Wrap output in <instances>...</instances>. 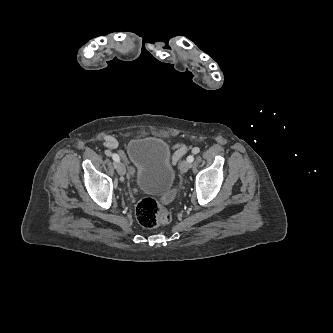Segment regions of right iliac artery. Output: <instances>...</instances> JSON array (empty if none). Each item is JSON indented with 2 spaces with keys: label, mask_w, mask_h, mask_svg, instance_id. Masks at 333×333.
<instances>
[{
  "label": "right iliac artery",
  "mask_w": 333,
  "mask_h": 333,
  "mask_svg": "<svg viewBox=\"0 0 333 333\" xmlns=\"http://www.w3.org/2000/svg\"><path fill=\"white\" fill-rule=\"evenodd\" d=\"M112 159L115 161V162H118V161H120V158H119V156L117 155V154H112Z\"/></svg>",
  "instance_id": "82829eb1"
}]
</instances>
